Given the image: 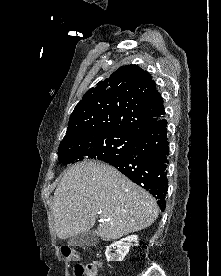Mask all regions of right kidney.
Listing matches in <instances>:
<instances>
[{"label":"right kidney","mask_w":221,"mask_h":276,"mask_svg":"<svg viewBox=\"0 0 221 276\" xmlns=\"http://www.w3.org/2000/svg\"><path fill=\"white\" fill-rule=\"evenodd\" d=\"M138 246V236L130 235L126 238L121 239L120 241H116L111 245L106 247L105 255L107 261H123L131 246ZM116 249L117 255H114L111 251Z\"/></svg>","instance_id":"ca27d5eb"}]
</instances>
